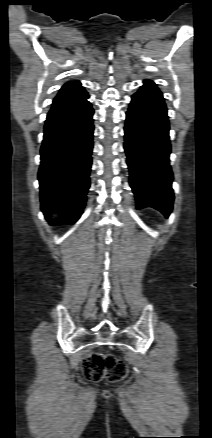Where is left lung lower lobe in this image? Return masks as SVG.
<instances>
[{"instance_id":"left-lung-lower-lobe-1","label":"left lung lower lobe","mask_w":212,"mask_h":438,"mask_svg":"<svg viewBox=\"0 0 212 438\" xmlns=\"http://www.w3.org/2000/svg\"><path fill=\"white\" fill-rule=\"evenodd\" d=\"M124 130L136 207H153L167 217L174 201L169 122L162 93L152 81L145 80L132 96Z\"/></svg>"}]
</instances>
